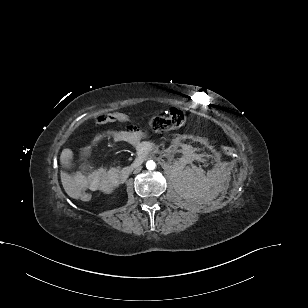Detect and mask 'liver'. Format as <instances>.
Segmentation results:
<instances>
[{
  "label": "liver",
  "mask_w": 308,
  "mask_h": 308,
  "mask_svg": "<svg viewBox=\"0 0 308 308\" xmlns=\"http://www.w3.org/2000/svg\"><path fill=\"white\" fill-rule=\"evenodd\" d=\"M61 181L66 193L72 198H77V194L73 188L72 180L67 173L61 172Z\"/></svg>",
  "instance_id": "6515ba94"
}]
</instances>
